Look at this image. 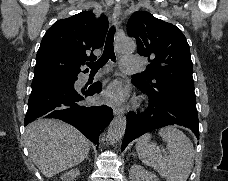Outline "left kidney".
Returning a JSON list of instances; mask_svg holds the SVG:
<instances>
[{
    "mask_svg": "<svg viewBox=\"0 0 228 181\" xmlns=\"http://www.w3.org/2000/svg\"><path fill=\"white\" fill-rule=\"evenodd\" d=\"M129 181H159L158 177L150 171H146L140 165H132L129 171Z\"/></svg>",
    "mask_w": 228,
    "mask_h": 181,
    "instance_id": "obj_1",
    "label": "left kidney"
}]
</instances>
